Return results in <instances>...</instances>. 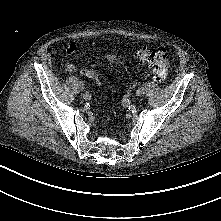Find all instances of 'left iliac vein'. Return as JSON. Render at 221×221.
<instances>
[{
  "instance_id": "4c4485c4",
  "label": "left iliac vein",
  "mask_w": 221,
  "mask_h": 221,
  "mask_svg": "<svg viewBox=\"0 0 221 221\" xmlns=\"http://www.w3.org/2000/svg\"><path fill=\"white\" fill-rule=\"evenodd\" d=\"M145 93V89L143 87L139 88L137 91H136V95L137 96H143Z\"/></svg>"
}]
</instances>
